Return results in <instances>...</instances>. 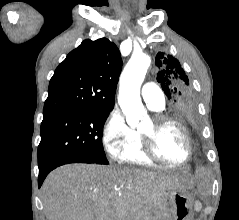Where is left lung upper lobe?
Returning a JSON list of instances; mask_svg holds the SVG:
<instances>
[{
    "label": "left lung upper lobe",
    "mask_w": 239,
    "mask_h": 220,
    "mask_svg": "<svg viewBox=\"0 0 239 220\" xmlns=\"http://www.w3.org/2000/svg\"><path fill=\"white\" fill-rule=\"evenodd\" d=\"M155 64L159 68L157 81L170 100L173 115L186 123L196 125L197 104L191 96L189 80L180 62L171 54L159 52Z\"/></svg>",
    "instance_id": "left-lung-upper-lobe-1"
}]
</instances>
